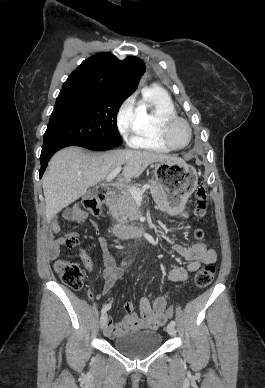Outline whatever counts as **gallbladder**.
<instances>
[{
    "mask_svg": "<svg viewBox=\"0 0 265 388\" xmlns=\"http://www.w3.org/2000/svg\"><path fill=\"white\" fill-rule=\"evenodd\" d=\"M91 192H95V190H89V194H91Z\"/></svg>",
    "mask_w": 265,
    "mask_h": 388,
    "instance_id": "bac80fb5",
    "label": "gallbladder"
}]
</instances>
